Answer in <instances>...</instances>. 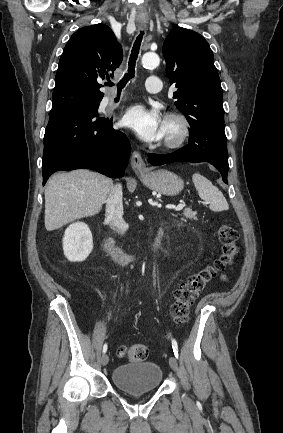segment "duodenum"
<instances>
[{
	"instance_id": "obj_1",
	"label": "duodenum",
	"mask_w": 283,
	"mask_h": 433,
	"mask_svg": "<svg viewBox=\"0 0 283 433\" xmlns=\"http://www.w3.org/2000/svg\"><path fill=\"white\" fill-rule=\"evenodd\" d=\"M163 234V229L159 228L156 234V238L149 248L150 253H153L159 249L162 243ZM104 250L115 262L123 265L135 262L140 258L139 256L125 252L115 243L113 238H107L105 240Z\"/></svg>"
}]
</instances>
